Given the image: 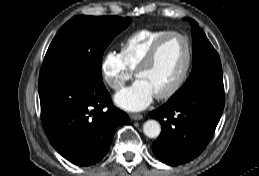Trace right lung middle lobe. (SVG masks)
<instances>
[{
    "label": "right lung middle lobe",
    "mask_w": 259,
    "mask_h": 176,
    "mask_svg": "<svg viewBox=\"0 0 259 176\" xmlns=\"http://www.w3.org/2000/svg\"><path fill=\"white\" fill-rule=\"evenodd\" d=\"M130 22L129 17H73L51 42L41 67L39 82L74 76L93 83H103L101 64L104 50Z\"/></svg>",
    "instance_id": "right-lung-middle-lobe-1"
}]
</instances>
